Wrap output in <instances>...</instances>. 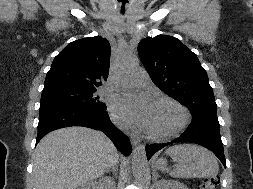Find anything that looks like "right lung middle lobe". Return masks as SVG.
<instances>
[{
    "instance_id": "right-lung-middle-lobe-1",
    "label": "right lung middle lobe",
    "mask_w": 253,
    "mask_h": 189,
    "mask_svg": "<svg viewBox=\"0 0 253 189\" xmlns=\"http://www.w3.org/2000/svg\"><path fill=\"white\" fill-rule=\"evenodd\" d=\"M97 87H55L43 89L41 105L63 104L94 110H106V105L95 95Z\"/></svg>"
}]
</instances>
